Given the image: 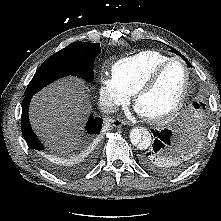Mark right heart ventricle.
<instances>
[{"label": "right heart ventricle", "mask_w": 221, "mask_h": 221, "mask_svg": "<svg viewBox=\"0 0 221 221\" xmlns=\"http://www.w3.org/2000/svg\"><path fill=\"white\" fill-rule=\"evenodd\" d=\"M169 58L156 50H144L114 63L112 76L129 95H133L152 72Z\"/></svg>", "instance_id": "obj_1"}]
</instances>
